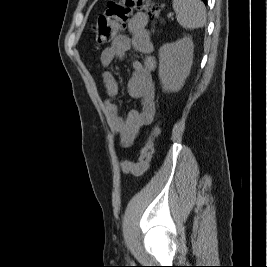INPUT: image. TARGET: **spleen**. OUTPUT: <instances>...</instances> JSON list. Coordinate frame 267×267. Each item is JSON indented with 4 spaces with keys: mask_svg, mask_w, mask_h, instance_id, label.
Here are the masks:
<instances>
[{
    "mask_svg": "<svg viewBox=\"0 0 267 267\" xmlns=\"http://www.w3.org/2000/svg\"><path fill=\"white\" fill-rule=\"evenodd\" d=\"M178 23L185 29H196L206 24V8L201 0H173Z\"/></svg>",
    "mask_w": 267,
    "mask_h": 267,
    "instance_id": "3e777b00",
    "label": "spleen"
}]
</instances>
